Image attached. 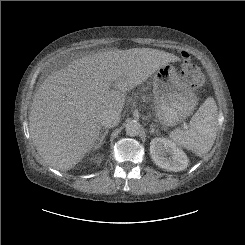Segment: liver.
I'll return each instance as SVG.
<instances>
[{
  "mask_svg": "<svg viewBox=\"0 0 245 245\" xmlns=\"http://www.w3.org/2000/svg\"><path fill=\"white\" fill-rule=\"evenodd\" d=\"M177 61V56L152 48L115 49L84 56L53 72L36 90L29 114L38 154L57 170L73 168L95 147L101 113H120L127 91Z\"/></svg>",
  "mask_w": 245,
  "mask_h": 245,
  "instance_id": "liver-1",
  "label": "liver"
}]
</instances>
